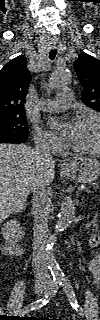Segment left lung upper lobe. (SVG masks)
<instances>
[{"mask_svg": "<svg viewBox=\"0 0 100 320\" xmlns=\"http://www.w3.org/2000/svg\"><path fill=\"white\" fill-rule=\"evenodd\" d=\"M74 69L83 86V103L100 112V61L83 52Z\"/></svg>", "mask_w": 100, "mask_h": 320, "instance_id": "5c2ea615", "label": "left lung upper lobe"}]
</instances>
